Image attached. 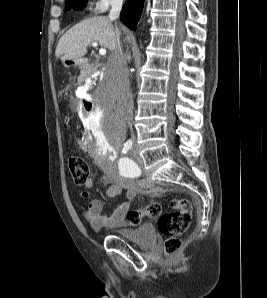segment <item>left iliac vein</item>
Returning <instances> with one entry per match:
<instances>
[{"label":"left iliac vein","instance_id":"4c4485c4","mask_svg":"<svg viewBox=\"0 0 267 298\" xmlns=\"http://www.w3.org/2000/svg\"><path fill=\"white\" fill-rule=\"evenodd\" d=\"M132 155L141 163V158L138 156L136 145L132 149Z\"/></svg>","mask_w":267,"mask_h":298}]
</instances>
